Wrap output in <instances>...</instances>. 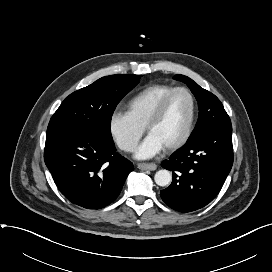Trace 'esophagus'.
Wrapping results in <instances>:
<instances>
[{"mask_svg":"<svg viewBox=\"0 0 272 272\" xmlns=\"http://www.w3.org/2000/svg\"><path fill=\"white\" fill-rule=\"evenodd\" d=\"M137 167L140 170H155L157 168V165L154 163H138Z\"/></svg>","mask_w":272,"mask_h":272,"instance_id":"34e87169","label":"esophagus"}]
</instances>
